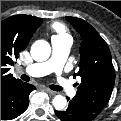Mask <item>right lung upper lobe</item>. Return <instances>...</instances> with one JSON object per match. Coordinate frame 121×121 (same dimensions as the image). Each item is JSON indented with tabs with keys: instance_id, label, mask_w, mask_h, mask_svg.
I'll return each instance as SVG.
<instances>
[{
	"instance_id": "1",
	"label": "right lung upper lobe",
	"mask_w": 121,
	"mask_h": 121,
	"mask_svg": "<svg viewBox=\"0 0 121 121\" xmlns=\"http://www.w3.org/2000/svg\"><path fill=\"white\" fill-rule=\"evenodd\" d=\"M42 22L41 18L30 15H14L1 22V89L20 82L8 71Z\"/></svg>"
}]
</instances>
